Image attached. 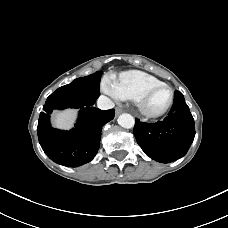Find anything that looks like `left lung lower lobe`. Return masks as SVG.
I'll return each mask as SVG.
<instances>
[{
	"instance_id": "obj_1",
	"label": "left lung lower lobe",
	"mask_w": 228,
	"mask_h": 228,
	"mask_svg": "<svg viewBox=\"0 0 228 228\" xmlns=\"http://www.w3.org/2000/svg\"><path fill=\"white\" fill-rule=\"evenodd\" d=\"M137 143L150 158L169 163L183 157L195 136L194 119L181 92L176 91L168 116L157 123L135 119Z\"/></svg>"
}]
</instances>
